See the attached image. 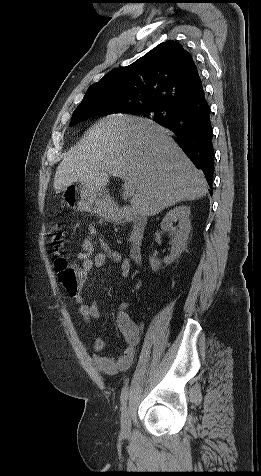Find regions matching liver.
Returning <instances> with one entry per match:
<instances>
[{"label": "liver", "instance_id": "obj_1", "mask_svg": "<svg viewBox=\"0 0 261 476\" xmlns=\"http://www.w3.org/2000/svg\"><path fill=\"white\" fill-rule=\"evenodd\" d=\"M116 171L134 185L132 211L155 216L208 192V184L164 127L142 117L114 114L98 121L57 167L54 189L84 182L95 188L109 183Z\"/></svg>", "mask_w": 261, "mask_h": 476}]
</instances>
